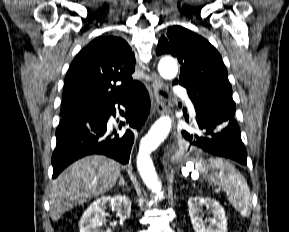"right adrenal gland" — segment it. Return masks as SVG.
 <instances>
[{
    "label": "right adrenal gland",
    "mask_w": 289,
    "mask_h": 232,
    "mask_svg": "<svg viewBox=\"0 0 289 232\" xmlns=\"http://www.w3.org/2000/svg\"><path fill=\"white\" fill-rule=\"evenodd\" d=\"M119 186L124 187L125 185H127V183L125 182L124 178L122 176H120V180L118 183Z\"/></svg>",
    "instance_id": "right-adrenal-gland-1"
}]
</instances>
